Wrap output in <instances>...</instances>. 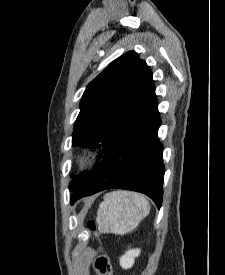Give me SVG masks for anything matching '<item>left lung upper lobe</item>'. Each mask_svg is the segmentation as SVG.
Masks as SVG:
<instances>
[{"label":"left lung upper lobe","mask_w":225,"mask_h":275,"mask_svg":"<svg viewBox=\"0 0 225 275\" xmlns=\"http://www.w3.org/2000/svg\"><path fill=\"white\" fill-rule=\"evenodd\" d=\"M157 100L152 71L134 51L120 56L91 81L80 102L72 143L107 154ZM74 178V190L90 173Z\"/></svg>","instance_id":"1"}]
</instances>
